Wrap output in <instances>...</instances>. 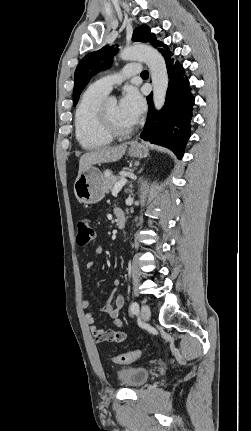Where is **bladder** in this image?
Returning a JSON list of instances; mask_svg holds the SVG:
<instances>
[{
    "label": "bladder",
    "instance_id": "obj_1",
    "mask_svg": "<svg viewBox=\"0 0 251 431\" xmlns=\"http://www.w3.org/2000/svg\"><path fill=\"white\" fill-rule=\"evenodd\" d=\"M149 377L150 371L138 366L122 367L117 371L118 381L128 388L140 387L148 381Z\"/></svg>",
    "mask_w": 251,
    "mask_h": 431
}]
</instances>
